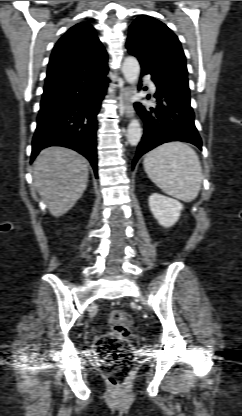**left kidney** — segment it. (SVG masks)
Masks as SVG:
<instances>
[{
  "instance_id": "obj_1",
  "label": "left kidney",
  "mask_w": 242,
  "mask_h": 416,
  "mask_svg": "<svg viewBox=\"0 0 242 416\" xmlns=\"http://www.w3.org/2000/svg\"><path fill=\"white\" fill-rule=\"evenodd\" d=\"M149 207L158 223L166 228L178 221L183 209L179 201L158 193H153L149 197Z\"/></svg>"
}]
</instances>
